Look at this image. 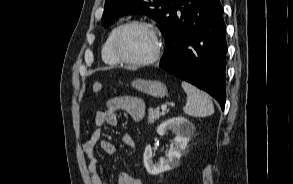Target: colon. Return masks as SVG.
I'll use <instances>...</instances> for the list:
<instances>
[{"instance_id":"colon-1","label":"colon","mask_w":293,"mask_h":184,"mask_svg":"<svg viewBox=\"0 0 293 184\" xmlns=\"http://www.w3.org/2000/svg\"><path fill=\"white\" fill-rule=\"evenodd\" d=\"M103 89V85L100 82H95L92 86V92L94 95L99 94Z\"/></svg>"}]
</instances>
